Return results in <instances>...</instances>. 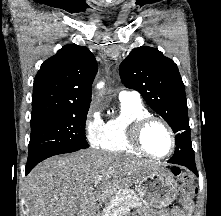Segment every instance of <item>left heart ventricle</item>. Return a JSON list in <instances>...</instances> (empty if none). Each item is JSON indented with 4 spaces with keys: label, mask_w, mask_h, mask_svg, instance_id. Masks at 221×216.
<instances>
[{
    "label": "left heart ventricle",
    "mask_w": 221,
    "mask_h": 216,
    "mask_svg": "<svg viewBox=\"0 0 221 216\" xmlns=\"http://www.w3.org/2000/svg\"><path fill=\"white\" fill-rule=\"evenodd\" d=\"M146 148L153 154L165 155L171 148V140L167 130L159 123L150 125L144 134Z\"/></svg>",
    "instance_id": "left-heart-ventricle-1"
}]
</instances>
